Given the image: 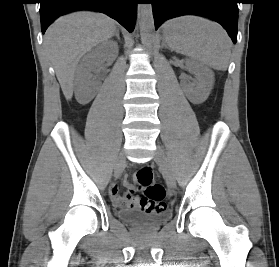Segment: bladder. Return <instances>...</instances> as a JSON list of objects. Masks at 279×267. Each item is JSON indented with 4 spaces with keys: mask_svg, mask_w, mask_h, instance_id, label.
Here are the masks:
<instances>
[{
    "mask_svg": "<svg viewBox=\"0 0 279 267\" xmlns=\"http://www.w3.org/2000/svg\"><path fill=\"white\" fill-rule=\"evenodd\" d=\"M119 217L126 223L143 229H154L170 218L169 213H161L154 216L146 215L133 209H125L119 212Z\"/></svg>",
    "mask_w": 279,
    "mask_h": 267,
    "instance_id": "31cf9c89",
    "label": "bladder"
}]
</instances>
